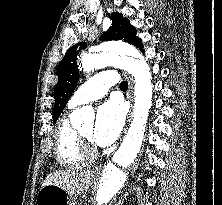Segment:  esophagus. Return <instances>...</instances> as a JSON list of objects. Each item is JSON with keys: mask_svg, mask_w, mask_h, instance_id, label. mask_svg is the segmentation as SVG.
Masks as SVG:
<instances>
[{"mask_svg": "<svg viewBox=\"0 0 222 205\" xmlns=\"http://www.w3.org/2000/svg\"><path fill=\"white\" fill-rule=\"evenodd\" d=\"M124 76L127 78V81L129 83V90H128V99L130 100L131 102V109H132V95H133V84H132V80L131 78L125 73ZM131 109H130V112H129V115H128V123L130 122V117H131ZM127 130V127L125 129V131Z\"/></svg>", "mask_w": 222, "mask_h": 205, "instance_id": "obj_1", "label": "esophagus"}]
</instances>
